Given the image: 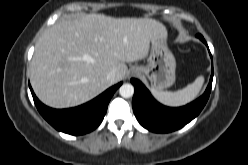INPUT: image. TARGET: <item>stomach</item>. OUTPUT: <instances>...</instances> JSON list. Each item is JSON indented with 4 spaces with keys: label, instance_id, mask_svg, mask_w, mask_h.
<instances>
[{
    "label": "stomach",
    "instance_id": "1",
    "mask_svg": "<svg viewBox=\"0 0 248 165\" xmlns=\"http://www.w3.org/2000/svg\"><path fill=\"white\" fill-rule=\"evenodd\" d=\"M166 38L167 34L153 38L147 65L136 67L156 90H163L175 82L176 61L167 47Z\"/></svg>",
    "mask_w": 248,
    "mask_h": 165
}]
</instances>
